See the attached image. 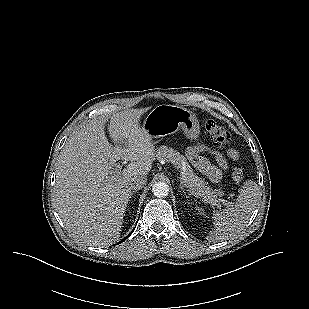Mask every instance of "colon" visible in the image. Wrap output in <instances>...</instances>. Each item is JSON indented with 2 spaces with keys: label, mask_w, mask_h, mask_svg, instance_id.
Here are the masks:
<instances>
[{
  "label": "colon",
  "mask_w": 309,
  "mask_h": 309,
  "mask_svg": "<svg viewBox=\"0 0 309 309\" xmlns=\"http://www.w3.org/2000/svg\"><path fill=\"white\" fill-rule=\"evenodd\" d=\"M205 129L210 139L213 141V143L216 146L220 148H226L230 145L231 138L224 127L218 125L216 122L212 120H207L205 122ZM244 176H245V171L243 167L237 166L233 169L232 179L235 183L242 182L244 179Z\"/></svg>",
  "instance_id": "5ec220e1"
}]
</instances>
